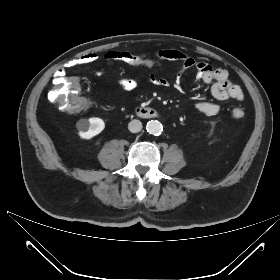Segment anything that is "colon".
<instances>
[{
	"instance_id": "obj_1",
	"label": "colon",
	"mask_w": 280,
	"mask_h": 280,
	"mask_svg": "<svg viewBox=\"0 0 280 280\" xmlns=\"http://www.w3.org/2000/svg\"><path fill=\"white\" fill-rule=\"evenodd\" d=\"M155 66L156 61L152 57H146L138 64L139 69L143 72L152 70L155 68ZM76 84L77 80L73 77H67L66 73L56 74L55 82L48 94V100L52 103H57V106L60 110H67V112L71 115L90 109L92 106V101L90 98L83 97L80 99L78 95L65 94L68 88H73ZM234 114L241 118L244 115V111L239 109L236 110Z\"/></svg>"
}]
</instances>
